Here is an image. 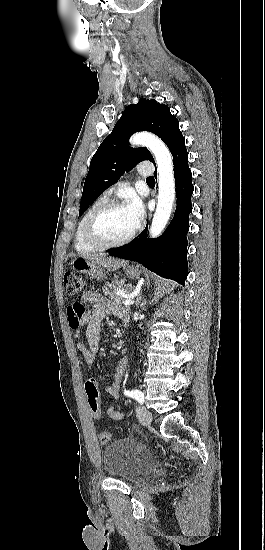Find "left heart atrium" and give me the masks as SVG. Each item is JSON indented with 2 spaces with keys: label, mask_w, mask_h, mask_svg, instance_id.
Segmentation results:
<instances>
[{
  "label": "left heart atrium",
  "mask_w": 265,
  "mask_h": 550,
  "mask_svg": "<svg viewBox=\"0 0 265 550\" xmlns=\"http://www.w3.org/2000/svg\"><path fill=\"white\" fill-rule=\"evenodd\" d=\"M125 207L131 216L135 228L139 227L144 217V207L141 200L137 197H133Z\"/></svg>",
  "instance_id": "left-heart-atrium-1"
}]
</instances>
